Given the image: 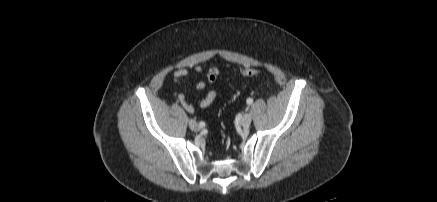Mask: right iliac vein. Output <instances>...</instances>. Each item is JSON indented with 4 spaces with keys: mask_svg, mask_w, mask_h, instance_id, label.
Instances as JSON below:
<instances>
[{
    "mask_svg": "<svg viewBox=\"0 0 437 202\" xmlns=\"http://www.w3.org/2000/svg\"><path fill=\"white\" fill-rule=\"evenodd\" d=\"M189 127L193 131H199L201 129L200 125L195 120L192 119L189 121Z\"/></svg>",
    "mask_w": 437,
    "mask_h": 202,
    "instance_id": "right-iliac-vein-1",
    "label": "right iliac vein"
}]
</instances>
